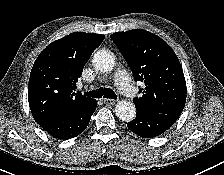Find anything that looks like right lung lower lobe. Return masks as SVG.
Listing matches in <instances>:
<instances>
[{
  "mask_svg": "<svg viewBox=\"0 0 224 175\" xmlns=\"http://www.w3.org/2000/svg\"><path fill=\"white\" fill-rule=\"evenodd\" d=\"M96 100L81 109L62 113L52 120L40 124L50 135L58 139H71L82 133L88 126L96 109Z\"/></svg>",
  "mask_w": 224,
  "mask_h": 175,
  "instance_id": "right-lung-lower-lobe-1",
  "label": "right lung lower lobe"
}]
</instances>
